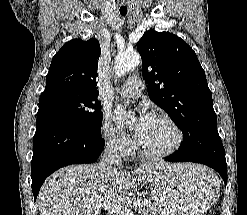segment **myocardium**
Masks as SVG:
<instances>
[{"instance_id":"myocardium-1","label":"myocardium","mask_w":247,"mask_h":215,"mask_svg":"<svg viewBox=\"0 0 247 215\" xmlns=\"http://www.w3.org/2000/svg\"><path fill=\"white\" fill-rule=\"evenodd\" d=\"M154 118L167 123L173 129L175 133L174 143L166 150L155 152V151H150L146 149L145 147H143L138 141V139H136V147L144 157L148 159L158 160V159L167 158L178 151V149L183 144L184 133L182 129L180 128V126L178 125V123L169 115L156 114Z\"/></svg>"}]
</instances>
